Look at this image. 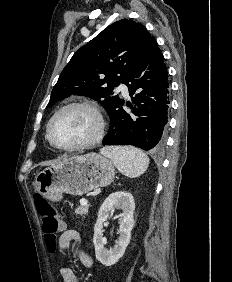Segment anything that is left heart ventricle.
Wrapping results in <instances>:
<instances>
[{"mask_svg": "<svg viewBox=\"0 0 232 282\" xmlns=\"http://www.w3.org/2000/svg\"><path fill=\"white\" fill-rule=\"evenodd\" d=\"M98 128L95 115L85 108H70L52 125V136L62 146H72L91 139Z\"/></svg>", "mask_w": 232, "mask_h": 282, "instance_id": "1", "label": "left heart ventricle"}]
</instances>
